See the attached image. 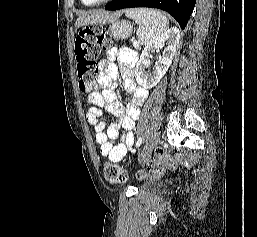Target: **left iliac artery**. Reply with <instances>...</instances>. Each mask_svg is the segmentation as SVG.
Returning <instances> with one entry per match:
<instances>
[{
	"label": "left iliac artery",
	"instance_id": "1",
	"mask_svg": "<svg viewBox=\"0 0 257 237\" xmlns=\"http://www.w3.org/2000/svg\"><path fill=\"white\" fill-rule=\"evenodd\" d=\"M142 138L140 137L136 142V147L138 148L142 144Z\"/></svg>",
	"mask_w": 257,
	"mask_h": 237
}]
</instances>
